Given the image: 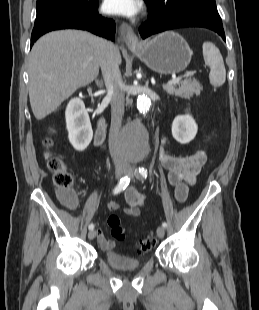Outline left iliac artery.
Masks as SVG:
<instances>
[{
	"label": "left iliac artery",
	"mask_w": 259,
	"mask_h": 310,
	"mask_svg": "<svg viewBox=\"0 0 259 310\" xmlns=\"http://www.w3.org/2000/svg\"><path fill=\"white\" fill-rule=\"evenodd\" d=\"M135 175H136L137 178H143V177L146 178L148 174H147V170L144 167H141V168L139 167V169L135 171ZM162 226L164 228H166L167 227V223L163 222Z\"/></svg>",
	"instance_id": "left-iliac-artery-1"
}]
</instances>
